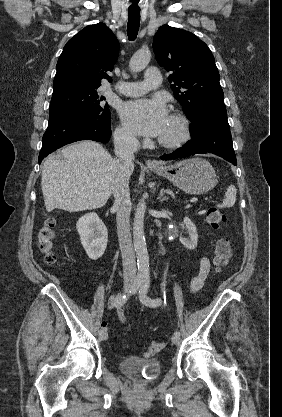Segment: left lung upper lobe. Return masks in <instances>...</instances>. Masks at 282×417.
Segmentation results:
<instances>
[{"instance_id":"1","label":"left lung upper lobe","mask_w":282,"mask_h":417,"mask_svg":"<svg viewBox=\"0 0 282 417\" xmlns=\"http://www.w3.org/2000/svg\"><path fill=\"white\" fill-rule=\"evenodd\" d=\"M153 50L158 64L172 72L173 94L190 121L201 108L224 105L215 59L197 36L164 25L153 38Z\"/></svg>"}]
</instances>
